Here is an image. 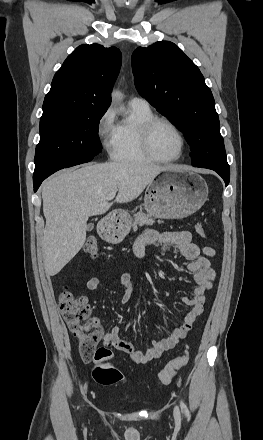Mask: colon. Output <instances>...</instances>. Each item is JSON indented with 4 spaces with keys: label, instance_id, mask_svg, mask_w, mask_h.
I'll use <instances>...</instances> for the list:
<instances>
[{
    "label": "colon",
    "instance_id": "obj_1",
    "mask_svg": "<svg viewBox=\"0 0 263 440\" xmlns=\"http://www.w3.org/2000/svg\"><path fill=\"white\" fill-rule=\"evenodd\" d=\"M195 228L201 237H205L202 224L198 223ZM83 251L92 258L98 257L99 251L95 239L90 238L84 245ZM59 307L72 336L78 342L80 358L83 361L94 362L93 379L102 384L123 382L125 380L123 375L110 363L111 351L105 347L96 348L98 333L92 324L93 317L86 297L64 290L59 296ZM188 357L189 352L185 350L171 361L158 375V385L167 386L187 364Z\"/></svg>",
    "mask_w": 263,
    "mask_h": 440
}]
</instances>
